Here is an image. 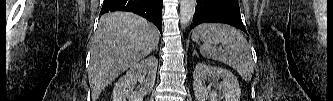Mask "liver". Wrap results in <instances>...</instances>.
Instances as JSON below:
<instances>
[{
	"mask_svg": "<svg viewBox=\"0 0 333 101\" xmlns=\"http://www.w3.org/2000/svg\"><path fill=\"white\" fill-rule=\"evenodd\" d=\"M159 36L152 23L133 13L102 16L91 46L88 70L93 101L123 71L154 50Z\"/></svg>",
	"mask_w": 333,
	"mask_h": 101,
	"instance_id": "1",
	"label": "liver"
}]
</instances>
